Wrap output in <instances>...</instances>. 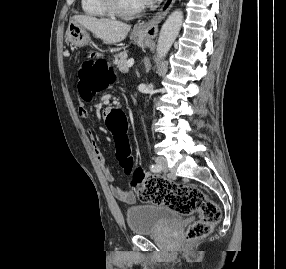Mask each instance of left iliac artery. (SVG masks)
<instances>
[{
	"instance_id": "44dca946",
	"label": "left iliac artery",
	"mask_w": 286,
	"mask_h": 269,
	"mask_svg": "<svg viewBox=\"0 0 286 269\" xmlns=\"http://www.w3.org/2000/svg\"><path fill=\"white\" fill-rule=\"evenodd\" d=\"M150 169H151V171H153V172H159V171H161V166L160 165H158V164H153V165H151L150 166Z\"/></svg>"
}]
</instances>
